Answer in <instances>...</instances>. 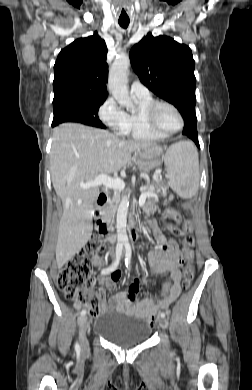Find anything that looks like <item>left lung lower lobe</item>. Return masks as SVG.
<instances>
[{
	"label": "left lung lower lobe",
	"instance_id": "obj_1",
	"mask_svg": "<svg viewBox=\"0 0 252 390\" xmlns=\"http://www.w3.org/2000/svg\"><path fill=\"white\" fill-rule=\"evenodd\" d=\"M185 125L183 128V134L191 138L197 147H199L198 135H197V118L196 117H187L184 119Z\"/></svg>",
	"mask_w": 252,
	"mask_h": 390
}]
</instances>
